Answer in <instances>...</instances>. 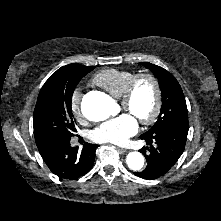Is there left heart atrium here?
<instances>
[{
    "instance_id": "left-heart-atrium-1",
    "label": "left heart atrium",
    "mask_w": 221,
    "mask_h": 221,
    "mask_svg": "<svg viewBox=\"0 0 221 221\" xmlns=\"http://www.w3.org/2000/svg\"><path fill=\"white\" fill-rule=\"evenodd\" d=\"M138 131L136 118L130 113H123L107 120L95 128L92 137L100 143L125 144Z\"/></svg>"
}]
</instances>
